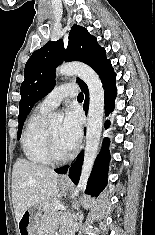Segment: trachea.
I'll return each mask as SVG.
<instances>
[{
    "label": "trachea",
    "mask_w": 155,
    "mask_h": 235,
    "mask_svg": "<svg viewBox=\"0 0 155 235\" xmlns=\"http://www.w3.org/2000/svg\"><path fill=\"white\" fill-rule=\"evenodd\" d=\"M78 100H83V94L82 93L78 94Z\"/></svg>",
    "instance_id": "obj_1"
}]
</instances>
